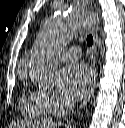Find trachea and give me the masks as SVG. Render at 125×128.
I'll list each match as a JSON object with an SVG mask.
<instances>
[{"label": "trachea", "mask_w": 125, "mask_h": 128, "mask_svg": "<svg viewBox=\"0 0 125 128\" xmlns=\"http://www.w3.org/2000/svg\"><path fill=\"white\" fill-rule=\"evenodd\" d=\"M87 44L89 46H92V44H93V37H92V35H88L87 36Z\"/></svg>", "instance_id": "3493384b"}]
</instances>
